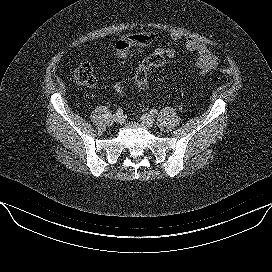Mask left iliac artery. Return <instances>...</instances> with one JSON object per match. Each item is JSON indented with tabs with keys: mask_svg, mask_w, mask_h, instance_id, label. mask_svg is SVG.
Here are the masks:
<instances>
[{
	"mask_svg": "<svg viewBox=\"0 0 272 272\" xmlns=\"http://www.w3.org/2000/svg\"><path fill=\"white\" fill-rule=\"evenodd\" d=\"M150 113H151L152 115H157V114H158V110H156V109H151Z\"/></svg>",
	"mask_w": 272,
	"mask_h": 272,
	"instance_id": "obj_1",
	"label": "left iliac artery"
}]
</instances>
